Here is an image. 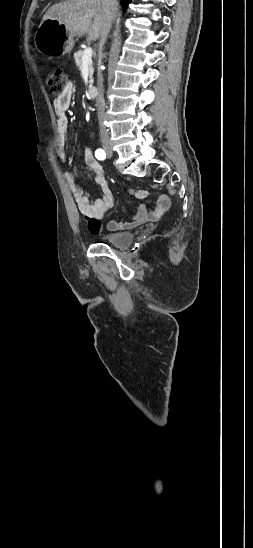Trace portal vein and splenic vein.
<instances>
[{"label": "portal vein and splenic vein", "instance_id": "obj_1", "mask_svg": "<svg viewBox=\"0 0 253 548\" xmlns=\"http://www.w3.org/2000/svg\"><path fill=\"white\" fill-rule=\"evenodd\" d=\"M93 54V50L91 47H88L83 52L82 62L83 65L88 64V62L91 60Z\"/></svg>", "mask_w": 253, "mask_h": 548}]
</instances>
